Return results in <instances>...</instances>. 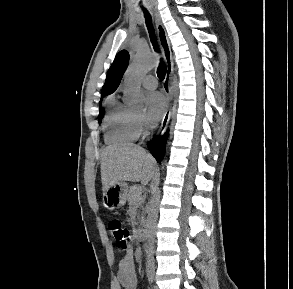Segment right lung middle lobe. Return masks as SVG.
<instances>
[{"mask_svg": "<svg viewBox=\"0 0 293 289\" xmlns=\"http://www.w3.org/2000/svg\"><path fill=\"white\" fill-rule=\"evenodd\" d=\"M103 116H104V112L102 111L99 113V116H98L99 123L101 122Z\"/></svg>", "mask_w": 293, "mask_h": 289, "instance_id": "right-lung-middle-lobe-1", "label": "right lung middle lobe"}]
</instances>
